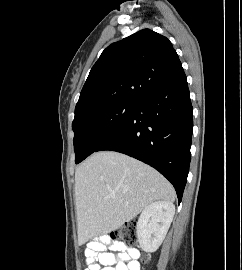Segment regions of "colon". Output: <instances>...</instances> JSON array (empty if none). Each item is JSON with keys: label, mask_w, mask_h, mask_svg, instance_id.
Listing matches in <instances>:
<instances>
[{"label": "colon", "mask_w": 242, "mask_h": 270, "mask_svg": "<svg viewBox=\"0 0 242 270\" xmlns=\"http://www.w3.org/2000/svg\"><path fill=\"white\" fill-rule=\"evenodd\" d=\"M111 239L123 244L134 243L137 240V223L135 221L127 222L119 230L111 234Z\"/></svg>", "instance_id": "colon-1"}]
</instances>
